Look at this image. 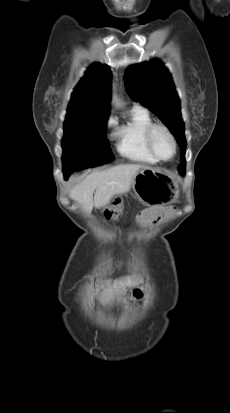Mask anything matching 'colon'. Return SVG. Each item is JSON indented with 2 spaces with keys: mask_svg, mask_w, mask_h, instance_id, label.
Returning a JSON list of instances; mask_svg holds the SVG:
<instances>
[{
  "mask_svg": "<svg viewBox=\"0 0 230 413\" xmlns=\"http://www.w3.org/2000/svg\"><path fill=\"white\" fill-rule=\"evenodd\" d=\"M124 204V199L122 198V195L120 193H117L115 195V198L113 199V205L110 208H106L104 210V215L106 216L107 219L109 220H117L120 215L121 211V206Z\"/></svg>",
  "mask_w": 230,
  "mask_h": 413,
  "instance_id": "1",
  "label": "colon"
}]
</instances>
